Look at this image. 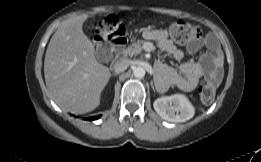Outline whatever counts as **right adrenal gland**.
<instances>
[{"instance_id": "1", "label": "right adrenal gland", "mask_w": 261, "mask_h": 162, "mask_svg": "<svg viewBox=\"0 0 261 162\" xmlns=\"http://www.w3.org/2000/svg\"><path fill=\"white\" fill-rule=\"evenodd\" d=\"M117 74L116 73H113L111 76H116Z\"/></svg>"}]
</instances>
